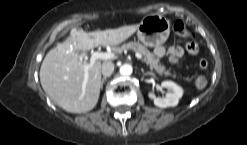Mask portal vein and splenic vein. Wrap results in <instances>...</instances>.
<instances>
[{"instance_id":"1","label":"portal vein and splenic vein","mask_w":247,"mask_h":145,"mask_svg":"<svg viewBox=\"0 0 247 145\" xmlns=\"http://www.w3.org/2000/svg\"><path fill=\"white\" fill-rule=\"evenodd\" d=\"M135 56L140 59V60H143L142 58V55L139 53V52H136L135 53ZM115 58V53L113 52H95L91 55V58H90V64L86 65L85 66V69H84V84L87 82L88 80V70L89 68L98 60V59H101V60H109V59H113Z\"/></svg>"}]
</instances>
